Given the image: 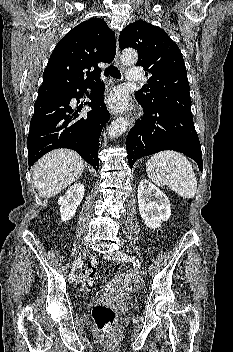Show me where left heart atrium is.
<instances>
[{
    "label": "left heart atrium",
    "mask_w": 233,
    "mask_h": 352,
    "mask_svg": "<svg viewBox=\"0 0 233 352\" xmlns=\"http://www.w3.org/2000/svg\"><path fill=\"white\" fill-rule=\"evenodd\" d=\"M110 104L116 109H123L127 105V98L123 93L116 92L111 96Z\"/></svg>",
    "instance_id": "39dd6f15"
}]
</instances>
